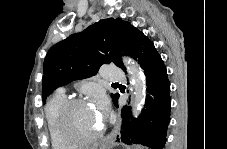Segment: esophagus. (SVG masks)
Here are the masks:
<instances>
[{
	"instance_id": "1",
	"label": "esophagus",
	"mask_w": 227,
	"mask_h": 149,
	"mask_svg": "<svg viewBox=\"0 0 227 149\" xmlns=\"http://www.w3.org/2000/svg\"><path fill=\"white\" fill-rule=\"evenodd\" d=\"M122 120L118 119L113 131L108 137H104V140H101V145H110V142H113V138L120 132Z\"/></svg>"
}]
</instances>
